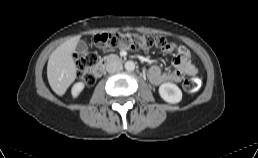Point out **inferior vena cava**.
<instances>
[{
	"mask_svg": "<svg viewBox=\"0 0 258 158\" xmlns=\"http://www.w3.org/2000/svg\"><path fill=\"white\" fill-rule=\"evenodd\" d=\"M121 69H122V64L119 61L110 62L106 67V70L108 73H114V72L120 71Z\"/></svg>",
	"mask_w": 258,
	"mask_h": 158,
	"instance_id": "1",
	"label": "inferior vena cava"
}]
</instances>
